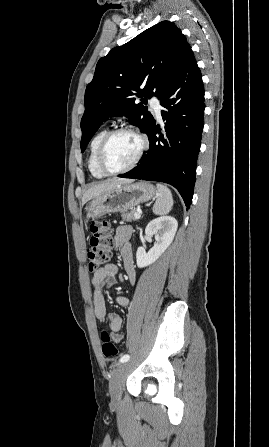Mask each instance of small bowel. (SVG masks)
<instances>
[{
    "mask_svg": "<svg viewBox=\"0 0 269 447\" xmlns=\"http://www.w3.org/2000/svg\"><path fill=\"white\" fill-rule=\"evenodd\" d=\"M131 236V229L127 226H121L116 231V242L120 246V254L127 276L132 284L136 282V272L132 251L128 240ZM118 268L115 264H107L94 272L91 279L93 289V306L97 319L101 322H109L113 341L120 343L124 339L121 332L123 319L119 314L110 313L106 306V288L116 283ZM115 301L122 307L129 306V299L122 295H117Z\"/></svg>",
    "mask_w": 269,
    "mask_h": 447,
    "instance_id": "1",
    "label": "small bowel"
}]
</instances>
